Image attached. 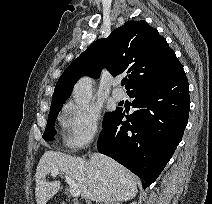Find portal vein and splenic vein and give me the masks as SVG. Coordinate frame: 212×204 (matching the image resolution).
Wrapping results in <instances>:
<instances>
[{
    "instance_id": "18ae733b",
    "label": "portal vein and splenic vein",
    "mask_w": 212,
    "mask_h": 204,
    "mask_svg": "<svg viewBox=\"0 0 212 204\" xmlns=\"http://www.w3.org/2000/svg\"><path fill=\"white\" fill-rule=\"evenodd\" d=\"M59 174V171L57 169H52L51 170V175L52 176H56ZM65 179L66 182L68 183V185L70 186V194L73 197H78L81 194V190L77 187V185L75 184V181H73L71 179V177L65 175Z\"/></svg>"
}]
</instances>
